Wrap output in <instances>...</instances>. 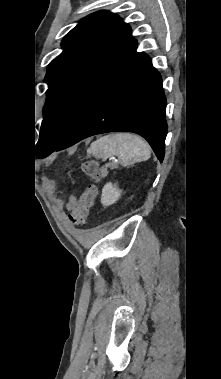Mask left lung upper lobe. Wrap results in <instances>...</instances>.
<instances>
[{"instance_id":"1","label":"left lung upper lobe","mask_w":221,"mask_h":379,"mask_svg":"<svg viewBox=\"0 0 221 379\" xmlns=\"http://www.w3.org/2000/svg\"><path fill=\"white\" fill-rule=\"evenodd\" d=\"M63 52L48 65L38 158L54 152L104 90L136 59L137 43L121 18L98 11L62 41Z\"/></svg>"}]
</instances>
